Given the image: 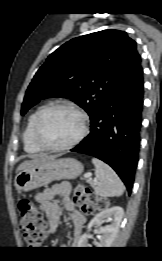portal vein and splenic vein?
<instances>
[{
	"mask_svg": "<svg viewBox=\"0 0 162 261\" xmlns=\"http://www.w3.org/2000/svg\"><path fill=\"white\" fill-rule=\"evenodd\" d=\"M91 176H92L91 173H86V174L84 175V177L87 178L88 181H89L91 184H97V180H92Z\"/></svg>",
	"mask_w": 162,
	"mask_h": 261,
	"instance_id": "18ae733b",
	"label": "portal vein and splenic vein"
}]
</instances>
